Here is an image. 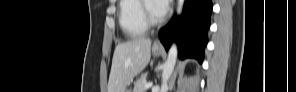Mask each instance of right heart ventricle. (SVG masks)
I'll list each match as a JSON object with an SVG mask.
<instances>
[{"label": "right heart ventricle", "instance_id": "obj_1", "mask_svg": "<svg viewBox=\"0 0 296 92\" xmlns=\"http://www.w3.org/2000/svg\"><path fill=\"white\" fill-rule=\"evenodd\" d=\"M142 1L122 0L119 6V24L128 37H137L146 33L147 26L142 17Z\"/></svg>", "mask_w": 296, "mask_h": 92}]
</instances>
